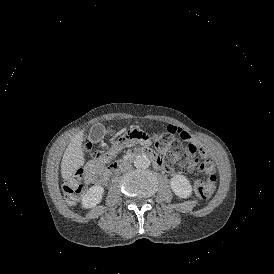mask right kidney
<instances>
[{"label": "right kidney", "mask_w": 274, "mask_h": 274, "mask_svg": "<svg viewBox=\"0 0 274 274\" xmlns=\"http://www.w3.org/2000/svg\"><path fill=\"white\" fill-rule=\"evenodd\" d=\"M104 189L101 186H92L82 197L83 208H93L102 200Z\"/></svg>", "instance_id": "obj_1"}]
</instances>
